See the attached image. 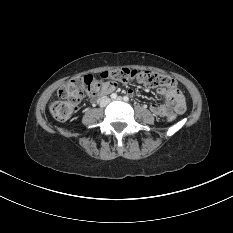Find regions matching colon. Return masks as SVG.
Here are the masks:
<instances>
[{"label":"colon","instance_id":"5ec220e1","mask_svg":"<svg viewBox=\"0 0 233 233\" xmlns=\"http://www.w3.org/2000/svg\"><path fill=\"white\" fill-rule=\"evenodd\" d=\"M131 81L152 87L176 89L174 79L158 72L116 68L101 73L100 78L85 75L68 81L58 90V99L51 103L50 112L58 121L68 120L77 111L84 97L97 95L106 86ZM168 119L172 121L175 119V116Z\"/></svg>","mask_w":233,"mask_h":233}]
</instances>
